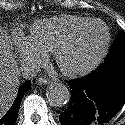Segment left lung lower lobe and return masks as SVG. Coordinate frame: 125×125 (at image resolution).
Here are the masks:
<instances>
[{
  "label": "left lung lower lobe",
  "mask_w": 125,
  "mask_h": 125,
  "mask_svg": "<svg viewBox=\"0 0 125 125\" xmlns=\"http://www.w3.org/2000/svg\"><path fill=\"white\" fill-rule=\"evenodd\" d=\"M68 108L62 125H99L111 120L125 104V59L108 60L89 75L67 82Z\"/></svg>",
  "instance_id": "1"
}]
</instances>
